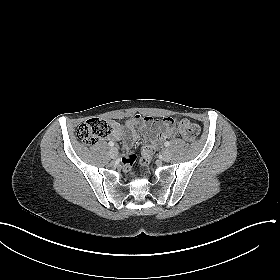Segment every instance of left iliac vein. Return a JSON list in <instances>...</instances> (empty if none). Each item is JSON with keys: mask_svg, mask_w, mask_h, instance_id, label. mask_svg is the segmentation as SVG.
I'll use <instances>...</instances> for the list:
<instances>
[{"mask_svg": "<svg viewBox=\"0 0 280 280\" xmlns=\"http://www.w3.org/2000/svg\"><path fill=\"white\" fill-rule=\"evenodd\" d=\"M162 159L165 162H169L171 160V152L168 149L162 151Z\"/></svg>", "mask_w": 280, "mask_h": 280, "instance_id": "4c4485c4", "label": "left iliac vein"}]
</instances>
